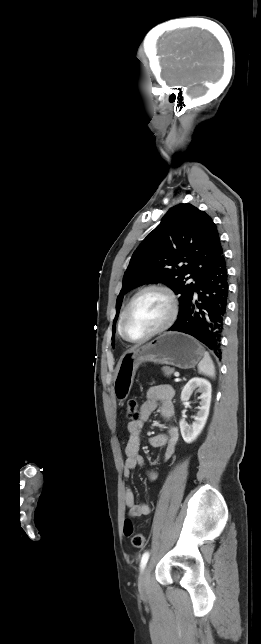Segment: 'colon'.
Segmentation results:
<instances>
[{
    "instance_id": "1",
    "label": "colon",
    "mask_w": 261,
    "mask_h": 644,
    "mask_svg": "<svg viewBox=\"0 0 261 644\" xmlns=\"http://www.w3.org/2000/svg\"><path fill=\"white\" fill-rule=\"evenodd\" d=\"M127 418L131 421H136L140 417V406L139 402L136 399L129 400L126 409ZM124 534L129 537L131 544L135 548H142L145 544V538L143 534L137 532L133 523L130 520H126L124 523Z\"/></svg>"
}]
</instances>
